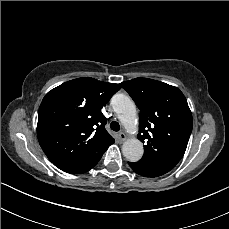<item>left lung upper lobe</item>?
Segmentation results:
<instances>
[{"label":"left lung upper lobe","instance_id":"obj_1","mask_svg":"<svg viewBox=\"0 0 229 229\" xmlns=\"http://www.w3.org/2000/svg\"><path fill=\"white\" fill-rule=\"evenodd\" d=\"M120 85L140 109L138 139L146 145L136 165L153 177L169 172L183 157L192 131L185 96L177 87L153 79L139 77Z\"/></svg>","mask_w":229,"mask_h":229}]
</instances>
